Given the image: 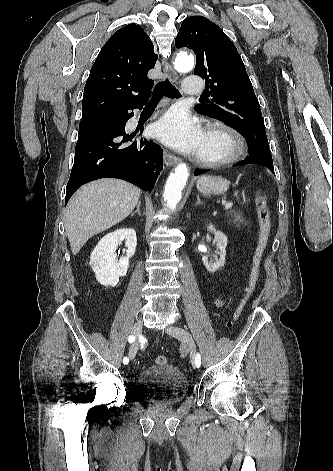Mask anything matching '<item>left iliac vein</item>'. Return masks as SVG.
Here are the masks:
<instances>
[{"label": "left iliac vein", "mask_w": 333, "mask_h": 471, "mask_svg": "<svg viewBox=\"0 0 333 471\" xmlns=\"http://www.w3.org/2000/svg\"><path fill=\"white\" fill-rule=\"evenodd\" d=\"M166 332L179 339L185 348H187L190 352V361L192 365L195 367L196 366V345L194 343V340L191 336V334L184 328L178 327V326H173L170 325L166 328Z\"/></svg>", "instance_id": "4c4485c4"}]
</instances>
